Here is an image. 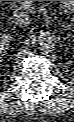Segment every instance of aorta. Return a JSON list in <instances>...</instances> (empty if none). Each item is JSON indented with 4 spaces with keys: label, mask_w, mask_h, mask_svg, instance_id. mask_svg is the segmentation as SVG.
I'll use <instances>...</instances> for the list:
<instances>
[{
    "label": "aorta",
    "mask_w": 74,
    "mask_h": 122,
    "mask_svg": "<svg viewBox=\"0 0 74 122\" xmlns=\"http://www.w3.org/2000/svg\"><path fill=\"white\" fill-rule=\"evenodd\" d=\"M38 49L41 52L48 53L53 51L58 44V40L53 33L41 31L37 36Z\"/></svg>",
    "instance_id": "obj_1"
}]
</instances>
